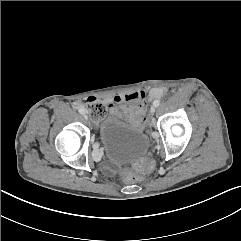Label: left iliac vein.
<instances>
[{
    "instance_id": "4c4485c4",
    "label": "left iliac vein",
    "mask_w": 241,
    "mask_h": 241,
    "mask_svg": "<svg viewBox=\"0 0 241 241\" xmlns=\"http://www.w3.org/2000/svg\"><path fill=\"white\" fill-rule=\"evenodd\" d=\"M150 113H151L152 115L155 113V107H154V106L151 107Z\"/></svg>"
}]
</instances>
